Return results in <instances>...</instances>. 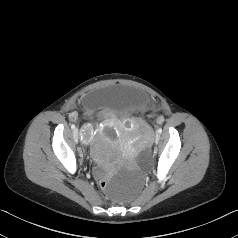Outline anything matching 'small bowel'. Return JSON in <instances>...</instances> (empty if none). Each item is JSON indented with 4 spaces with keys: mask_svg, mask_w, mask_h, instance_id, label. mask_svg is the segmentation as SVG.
Masks as SVG:
<instances>
[{
    "mask_svg": "<svg viewBox=\"0 0 238 238\" xmlns=\"http://www.w3.org/2000/svg\"><path fill=\"white\" fill-rule=\"evenodd\" d=\"M70 118H71L72 120H75V119H76V115L73 113V114L70 115Z\"/></svg>",
    "mask_w": 238,
    "mask_h": 238,
    "instance_id": "small-bowel-1",
    "label": "small bowel"
}]
</instances>
